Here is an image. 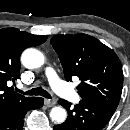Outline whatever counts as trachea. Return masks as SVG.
<instances>
[{"instance_id": "obj_1", "label": "trachea", "mask_w": 130, "mask_h": 130, "mask_svg": "<svg viewBox=\"0 0 130 130\" xmlns=\"http://www.w3.org/2000/svg\"><path fill=\"white\" fill-rule=\"evenodd\" d=\"M18 92H20L21 94H24V95H29V96L40 95V96H43V97L48 98V99L51 98V95L46 90H44L42 87L33 88V89L28 90L26 92H24L22 90H18Z\"/></svg>"}]
</instances>
